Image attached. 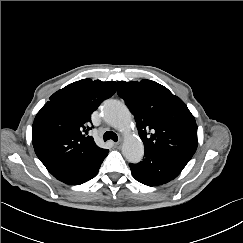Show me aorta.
Listing matches in <instances>:
<instances>
[{
    "label": "aorta",
    "instance_id": "1",
    "mask_svg": "<svg viewBox=\"0 0 243 243\" xmlns=\"http://www.w3.org/2000/svg\"><path fill=\"white\" fill-rule=\"evenodd\" d=\"M103 118L122 134L124 157L131 163L141 161L144 155V145L134 133L132 116L127 106L120 101L109 100L103 106Z\"/></svg>",
    "mask_w": 243,
    "mask_h": 243
}]
</instances>
